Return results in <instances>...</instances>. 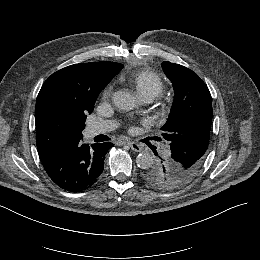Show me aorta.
Returning a JSON list of instances; mask_svg holds the SVG:
<instances>
[{"label": "aorta", "mask_w": 260, "mask_h": 260, "mask_svg": "<svg viewBox=\"0 0 260 260\" xmlns=\"http://www.w3.org/2000/svg\"><path fill=\"white\" fill-rule=\"evenodd\" d=\"M114 105L121 111H129L136 106L135 98L127 91H117L112 97ZM153 156L149 152H142L136 157L137 166L146 169L152 166Z\"/></svg>", "instance_id": "obj_1"}]
</instances>
